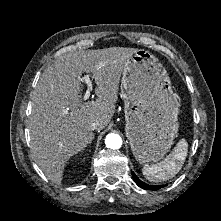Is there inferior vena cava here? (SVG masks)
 <instances>
[{
	"label": "inferior vena cava",
	"instance_id": "1",
	"mask_svg": "<svg viewBox=\"0 0 221 221\" xmlns=\"http://www.w3.org/2000/svg\"><path fill=\"white\" fill-rule=\"evenodd\" d=\"M100 127H101V124H100L98 121H94V122L91 124V129H92V130H98Z\"/></svg>",
	"mask_w": 221,
	"mask_h": 221
}]
</instances>
